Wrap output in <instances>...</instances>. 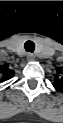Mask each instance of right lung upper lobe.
<instances>
[{
  "instance_id": "cb5924a9",
  "label": "right lung upper lobe",
  "mask_w": 63,
  "mask_h": 123,
  "mask_svg": "<svg viewBox=\"0 0 63 123\" xmlns=\"http://www.w3.org/2000/svg\"><path fill=\"white\" fill-rule=\"evenodd\" d=\"M1 72L3 74V80H8L14 76V71L8 69L7 65L1 66Z\"/></svg>"
}]
</instances>
